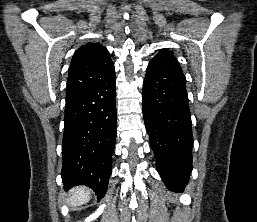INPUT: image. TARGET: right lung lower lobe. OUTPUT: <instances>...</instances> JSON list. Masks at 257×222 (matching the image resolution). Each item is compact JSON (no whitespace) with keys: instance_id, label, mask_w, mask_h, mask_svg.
Returning <instances> with one entry per match:
<instances>
[{"instance_id":"98d812e1","label":"right lung lower lobe","mask_w":257,"mask_h":222,"mask_svg":"<svg viewBox=\"0 0 257 222\" xmlns=\"http://www.w3.org/2000/svg\"><path fill=\"white\" fill-rule=\"evenodd\" d=\"M115 70L96 86L66 98L61 176L65 189L107 190L116 140Z\"/></svg>"}]
</instances>
